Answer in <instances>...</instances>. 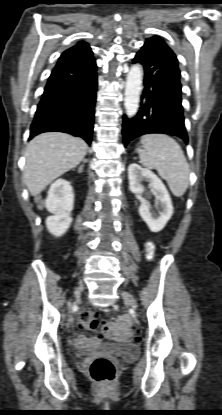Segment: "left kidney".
I'll use <instances>...</instances> for the list:
<instances>
[{
	"mask_svg": "<svg viewBox=\"0 0 222 415\" xmlns=\"http://www.w3.org/2000/svg\"><path fill=\"white\" fill-rule=\"evenodd\" d=\"M128 178L131 192L139 195L141 203L139 206L140 216L152 232L161 231L173 214L172 201L165 185L152 171L145 169L136 163L129 165ZM143 180H147L150 183L152 190L155 192L156 205L159 204V215L153 214L150 211L151 207L149 202L141 197V194L144 191L141 184Z\"/></svg>",
	"mask_w": 222,
	"mask_h": 415,
	"instance_id": "left-kidney-1",
	"label": "left kidney"
}]
</instances>
